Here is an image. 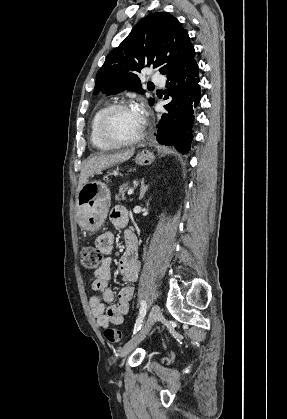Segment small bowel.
Returning <instances> with one entry per match:
<instances>
[{
    "label": "small bowel",
    "mask_w": 287,
    "mask_h": 419,
    "mask_svg": "<svg viewBox=\"0 0 287 419\" xmlns=\"http://www.w3.org/2000/svg\"><path fill=\"white\" fill-rule=\"evenodd\" d=\"M111 223L115 228H125L129 223L127 210L122 206H116L110 213ZM125 247L121 258L119 259L118 268L122 280L126 283H133L138 278L140 271V261L138 258V241L135 233L131 229H127L124 235ZM114 244V235L110 231L100 234L95 246L102 253L108 255ZM111 278L110 259L106 258L98 267L94 274L92 289L99 293L89 301V306L94 319L98 326L107 328L110 324H120L125 315L129 313L130 301L133 296L134 289L132 286H125L118 292L116 303L111 304L115 295L113 290L108 286ZM105 303L110 305L106 306Z\"/></svg>",
    "instance_id": "small-bowel-1"
}]
</instances>
